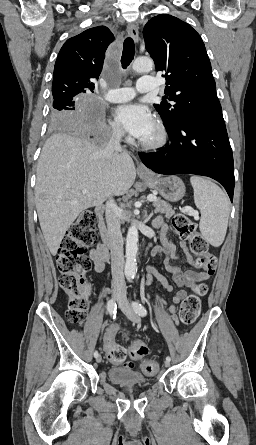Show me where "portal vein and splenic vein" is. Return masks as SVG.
<instances>
[{
	"label": "portal vein and splenic vein",
	"mask_w": 256,
	"mask_h": 445,
	"mask_svg": "<svg viewBox=\"0 0 256 445\" xmlns=\"http://www.w3.org/2000/svg\"><path fill=\"white\" fill-rule=\"evenodd\" d=\"M82 193H83V194H86V193H88V190L83 189V190H82ZM148 199H149L150 201H153V202L156 201V197H155V196H149ZM183 211L186 212V213H188V214H190V215H194V216L198 214V213H197L195 210H193L191 207H185V208L183 209Z\"/></svg>",
	"instance_id": "obj_1"
}]
</instances>
